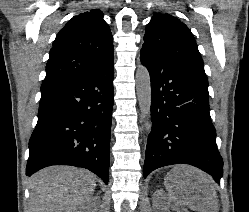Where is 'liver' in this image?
I'll return each mask as SVG.
<instances>
[{
	"mask_svg": "<svg viewBox=\"0 0 249 212\" xmlns=\"http://www.w3.org/2000/svg\"><path fill=\"white\" fill-rule=\"evenodd\" d=\"M174 174L165 178L174 184V206H189L195 212H217L218 196L210 176L193 166H174ZM33 212H71L86 204L95 192L96 182L87 170L71 166H50L29 180Z\"/></svg>",
	"mask_w": 249,
	"mask_h": 212,
	"instance_id": "6515ba94",
	"label": "liver"
}]
</instances>
